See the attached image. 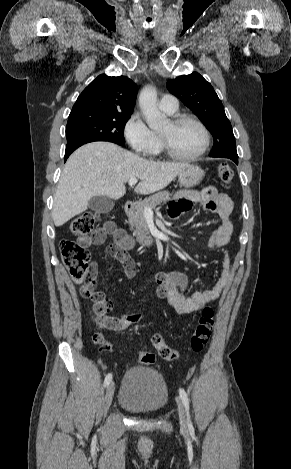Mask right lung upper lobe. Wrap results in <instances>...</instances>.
I'll return each mask as SVG.
<instances>
[{"label":"right lung upper lobe","instance_id":"1","mask_svg":"<svg viewBox=\"0 0 291 469\" xmlns=\"http://www.w3.org/2000/svg\"><path fill=\"white\" fill-rule=\"evenodd\" d=\"M137 88L125 76L99 75L79 95L71 113L104 112L132 114Z\"/></svg>","mask_w":291,"mask_h":469}]
</instances>
